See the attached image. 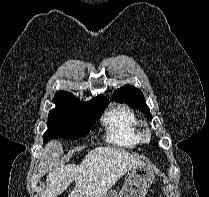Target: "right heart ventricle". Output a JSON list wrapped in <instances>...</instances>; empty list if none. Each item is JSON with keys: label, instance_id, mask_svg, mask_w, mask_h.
<instances>
[{"label": "right heart ventricle", "instance_id": "e07e8e85", "mask_svg": "<svg viewBox=\"0 0 209 197\" xmlns=\"http://www.w3.org/2000/svg\"><path fill=\"white\" fill-rule=\"evenodd\" d=\"M107 139L122 147H134L140 142L139 122L134 112L126 106H117L104 117Z\"/></svg>", "mask_w": 209, "mask_h": 197}]
</instances>
